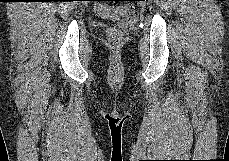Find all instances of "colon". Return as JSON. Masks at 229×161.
<instances>
[{"label": "colon", "mask_w": 229, "mask_h": 161, "mask_svg": "<svg viewBox=\"0 0 229 161\" xmlns=\"http://www.w3.org/2000/svg\"><path fill=\"white\" fill-rule=\"evenodd\" d=\"M134 12V7L131 5L113 6L105 3L95 6V13L103 18H115L129 16ZM107 38L112 46H118L122 40V33L117 28H109Z\"/></svg>", "instance_id": "1"}]
</instances>
